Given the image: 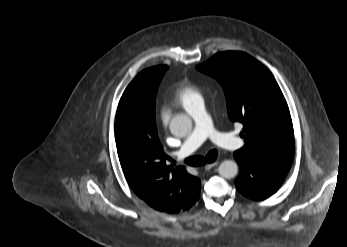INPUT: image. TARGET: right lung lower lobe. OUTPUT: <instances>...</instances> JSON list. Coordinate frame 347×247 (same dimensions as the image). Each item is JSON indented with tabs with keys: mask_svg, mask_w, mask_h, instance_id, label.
Returning a JSON list of instances; mask_svg holds the SVG:
<instances>
[{
	"mask_svg": "<svg viewBox=\"0 0 347 247\" xmlns=\"http://www.w3.org/2000/svg\"><path fill=\"white\" fill-rule=\"evenodd\" d=\"M197 201V199L196 200H194L193 202H191L190 204H189V206H187L184 210H187V209H189L195 202Z\"/></svg>",
	"mask_w": 347,
	"mask_h": 247,
	"instance_id": "1",
	"label": "right lung lower lobe"
}]
</instances>
